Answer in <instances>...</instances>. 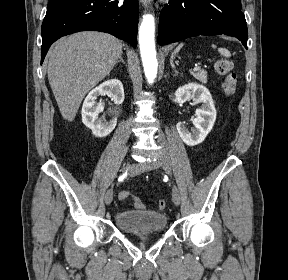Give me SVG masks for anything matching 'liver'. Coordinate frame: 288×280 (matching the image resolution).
<instances>
[{"instance_id": "1", "label": "liver", "mask_w": 288, "mask_h": 280, "mask_svg": "<svg viewBox=\"0 0 288 280\" xmlns=\"http://www.w3.org/2000/svg\"><path fill=\"white\" fill-rule=\"evenodd\" d=\"M122 54V42L107 33L84 31L50 50L48 80L62 117L73 121L85 95L103 80Z\"/></svg>"}]
</instances>
